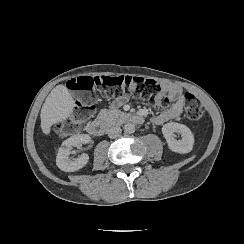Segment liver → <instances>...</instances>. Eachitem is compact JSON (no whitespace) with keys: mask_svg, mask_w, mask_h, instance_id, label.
I'll return each instance as SVG.
<instances>
[{"mask_svg":"<svg viewBox=\"0 0 244 244\" xmlns=\"http://www.w3.org/2000/svg\"><path fill=\"white\" fill-rule=\"evenodd\" d=\"M75 108L72 93L64 84L52 89L43 103L40 113V128L45 136L52 132V126L66 120Z\"/></svg>","mask_w":244,"mask_h":244,"instance_id":"6515ba94","label":"liver"}]
</instances>
